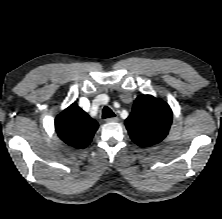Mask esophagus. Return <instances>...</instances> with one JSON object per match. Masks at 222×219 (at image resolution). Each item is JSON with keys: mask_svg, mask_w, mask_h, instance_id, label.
Returning a JSON list of instances; mask_svg holds the SVG:
<instances>
[{"mask_svg": "<svg viewBox=\"0 0 222 219\" xmlns=\"http://www.w3.org/2000/svg\"><path fill=\"white\" fill-rule=\"evenodd\" d=\"M118 121H119L118 117H113V118L106 119L107 123L118 122Z\"/></svg>", "mask_w": 222, "mask_h": 219, "instance_id": "esophagus-1", "label": "esophagus"}]
</instances>
